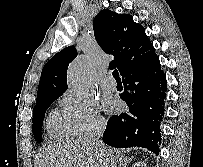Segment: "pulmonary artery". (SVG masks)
Instances as JSON below:
<instances>
[{
    "mask_svg": "<svg viewBox=\"0 0 203 167\" xmlns=\"http://www.w3.org/2000/svg\"><path fill=\"white\" fill-rule=\"evenodd\" d=\"M102 87L106 91H114L116 90V82L111 76H107L103 81Z\"/></svg>",
    "mask_w": 203,
    "mask_h": 167,
    "instance_id": "1",
    "label": "pulmonary artery"
}]
</instances>
